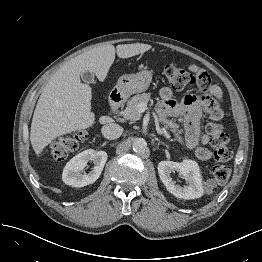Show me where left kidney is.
<instances>
[{
  "label": "left kidney",
  "instance_id": "left-kidney-1",
  "mask_svg": "<svg viewBox=\"0 0 262 262\" xmlns=\"http://www.w3.org/2000/svg\"><path fill=\"white\" fill-rule=\"evenodd\" d=\"M178 172L186 180L187 185H177L171 173ZM158 173L166 189L180 199H196L203 195L204 189L198 163L185 159L182 162L161 161Z\"/></svg>",
  "mask_w": 262,
  "mask_h": 262
}]
</instances>
